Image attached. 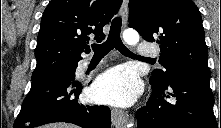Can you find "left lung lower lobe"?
Here are the masks:
<instances>
[{"mask_svg": "<svg viewBox=\"0 0 221 128\" xmlns=\"http://www.w3.org/2000/svg\"><path fill=\"white\" fill-rule=\"evenodd\" d=\"M137 111V128H221L213 113L210 77L177 73Z\"/></svg>", "mask_w": 221, "mask_h": 128, "instance_id": "left-lung-lower-lobe-1", "label": "left lung lower lobe"}]
</instances>
